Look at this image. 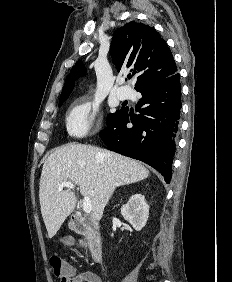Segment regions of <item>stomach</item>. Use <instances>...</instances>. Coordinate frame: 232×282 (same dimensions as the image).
Wrapping results in <instances>:
<instances>
[{
  "label": "stomach",
  "mask_w": 232,
  "mask_h": 282,
  "mask_svg": "<svg viewBox=\"0 0 232 282\" xmlns=\"http://www.w3.org/2000/svg\"><path fill=\"white\" fill-rule=\"evenodd\" d=\"M69 227H70L71 229H73V228H74V225H73L72 223H69Z\"/></svg>",
  "instance_id": "obj_1"
}]
</instances>
